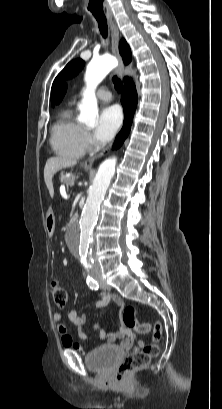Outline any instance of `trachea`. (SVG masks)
I'll return each mask as SVG.
<instances>
[{
	"mask_svg": "<svg viewBox=\"0 0 222 409\" xmlns=\"http://www.w3.org/2000/svg\"><path fill=\"white\" fill-rule=\"evenodd\" d=\"M97 22H98L99 30H100L102 37L106 39L108 35L107 21L97 19ZM113 82H114L115 88L118 91V93H121L123 89V84L120 81V79L117 76H114Z\"/></svg>",
	"mask_w": 222,
	"mask_h": 409,
	"instance_id": "1",
	"label": "trachea"
}]
</instances>
